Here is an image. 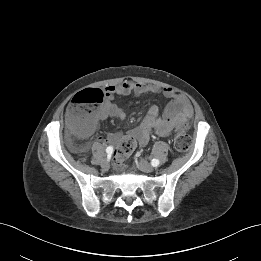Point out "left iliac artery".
<instances>
[{
	"label": "left iliac artery",
	"instance_id": "44dca946",
	"mask_svg": "<svg viewBox=\"0 0 261 261\" xmlns=\"http://www.w3.org/2000/svg\"><path fill=\"white\" fill-rule=\"evenodd\" d=\"M159 160L158 159H153L152 161H151V165L153 166V167H157L158 165H159Z\"/></svg>",
	"mask_w": 261,
	"mask_h": 261
}]
</instances>
